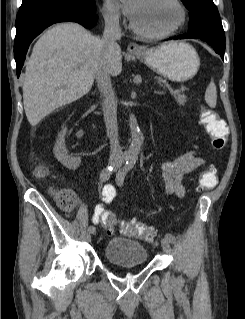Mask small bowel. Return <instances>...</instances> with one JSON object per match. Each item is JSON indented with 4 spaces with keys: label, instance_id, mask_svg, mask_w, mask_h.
Returning <instances> with one entry per match:
<instances>
[{
    "label": "small bowel",
    "instance_id": "obj_1",
    "mask_svg": "<svg viewBox=\"0 0 245 319\" xmlns=\"http://www.w3.org/2000/svg\"><path fill=\"white\" fill-rule=\"evenodd\" d=\"M202 164V159L192 152H185L173 160L165 161L161 165L163 181L161 187L170 195L178 198L185 196L186 190L183 185L185 177L196 170ZM110 186V195H103V203L94 209L93 222L98 223L101 216L105 213V204H109V198H115L117 193L113 186ZM112 199V200H113Z\"/></svg>",
    "mask_w": 245,
    "mask_h": 319
}]
</instances>
